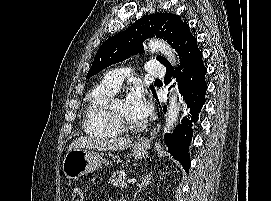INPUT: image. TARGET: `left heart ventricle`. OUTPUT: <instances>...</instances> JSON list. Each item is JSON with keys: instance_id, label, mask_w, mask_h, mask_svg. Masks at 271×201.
Segmentation results:
<instances>
[{"instance_id": "obj_1", "label": "left heart ventricle", "mask_w": 271, "mask_h": 201, "mask_svg": "<svg viewBox=\"0 0 271 201\" xmlns=\"http://www.w3.org/2000/svg\"><path fill=\"white\" fill-rule=\"evenodd\" d=\"M115 112L120 115L123 119L131 122V123H140L139 120H136L129 112L128 107L126 105L125 99H120L114 104Z\"/></svg>"}]
</instances>
